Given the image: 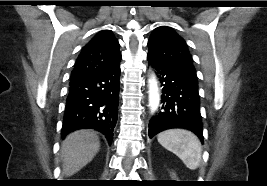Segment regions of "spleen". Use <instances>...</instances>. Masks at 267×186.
I'll return each instance as SVG.
<instances>
[{"label": "spleen", "instance_id": "1", "mask_svg": "<svg viewBox=\"0 0 267 186\" xmlns=\"http://www.w3.org/2000/svg\"><path fill=\"white\" fill-rule=\"evenodd\" d=\"M157 139L164 148L177 155L188 169L195 170L199 167L202 146L192 132L171 129L160 133Z\"/></svg>", "mask_w": 267, "mask_h": 186}]
</instances>
